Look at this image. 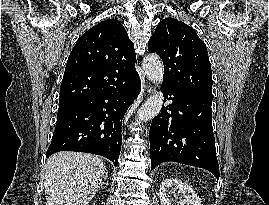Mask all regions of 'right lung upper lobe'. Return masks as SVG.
Returning <instances> with one entry per match:
<instances>
[{
    "mask_svg": "<svg viewBox=\"0 0 269 205\" xmlns=\"http://www.w3.org/2000/svg\"><path fill=\"white\" fill-rule=\"evenodd\" d=\"M136 54L123 25L108 19L85 32L68 58L59 103L112 90L135 70Z\"/></svg>",
    "mask_w": 269,
    "mask_h": 205,
    "instance_id": "cb5924a9",
    "label": "right lung upper lobe"
}]
</instances>
